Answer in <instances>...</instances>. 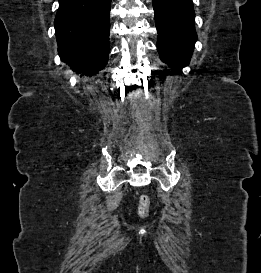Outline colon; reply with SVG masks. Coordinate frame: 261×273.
Listing matches in <instances>:
<instances>
[{"label":"colon","instance_id":"1","mask_svg":"<svg viewBox=\"0 0 261 273\" xmlns=\"http://www.w3.org/2000/svg\"><path fill=\"white\" fill-rule=\"evenodd\" d=\"M150 199L147 195H142L139 199L138 214L141 217H146L149 213Z\"/></svg>","mask_w":261,"mask_h":273}]
</instances>
